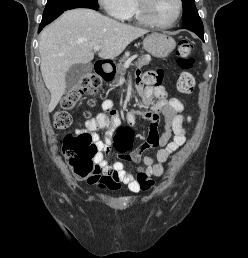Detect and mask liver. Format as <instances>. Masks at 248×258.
Masks as SVG:
<instances>
[{
  "instance_id": "1",
  "label": "liver",
  "mask_w": 248,
  "mask_h": 258,
  "mask_svg": "<svg viewBox=\"0 0 248 258\" xmlns=\"http://www.w3.org/2000/svg\"><path fill=\"white\" fill-rule=\"evenodd\" d=\"M148 30L120 23L92 9L78 8L63 13L41 33L39 52L41 73L51 93L52 112L66 89L65 75L74 64L90 63L94 46L99 57L115 58Z\"/></svg>"
}]
</instances>
